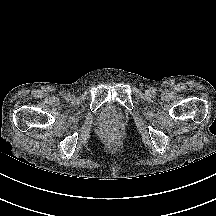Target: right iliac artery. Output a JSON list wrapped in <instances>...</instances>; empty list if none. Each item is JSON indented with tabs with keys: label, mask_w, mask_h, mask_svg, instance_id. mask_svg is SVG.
I'll use <instances>...</instances> for the list:
<instances>
[{
	"label": "right iliac artery",
	"mask_w": 216,
	"mask_h": 216,
	"mask_svg": "<svg viewBox=\"0 0 216 216\" xmlns=\"http://www.w3.org/2000/svg\"><path fill=\"white\" fill-rule=\"evenodd\" d=\"M68 96H69L68 94H66V93L64 94V98H66V99H67V98H68Z\"/></svg>",
	"instance_id": "82829eb1"
}]
</instances>
